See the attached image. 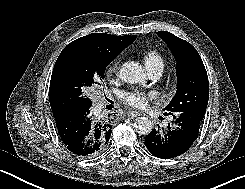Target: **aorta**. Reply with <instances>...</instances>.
I'll list each match as a JSON object with an SVG mask.
<instances>
[{"label":"aorta","mask_w":245,"mask_h":189,"mask_svg":"<svg viewBox=\"0 0 245 189\" xmlns=\"http://www.w3.org/2000/svg\"><path fill=\"white\" fill-rule=\"evenodd\" d=\"M120 76L124 82L144 83L146 81V74L139 63L125 62L120 69ZM134 130L140 135H147L153 129V123L147 117H138L133 124Z\"/></svg>","instance_id":"762f6f07"}]
</instances>
